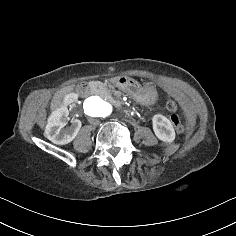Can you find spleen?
Here are the masks:
<instances>
[{"mask_svg":"<svg viewBox=\"0 0 236 236\" xmlns=\"http://www.w3.org/2000/svg\"><path fill=\"white\" fill-rule=\"evenodd\" d=\"M189 133V130H186V134H188Z\"/></svg>","mask_w":236,"mask_h":236,"instance_id":"1","label":"spleen"}]
</instances>
